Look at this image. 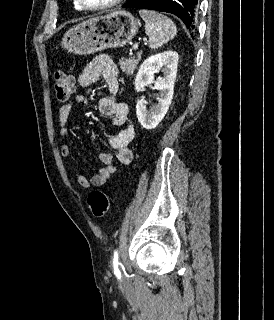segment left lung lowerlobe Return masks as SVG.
<instances>
[{"mask_svg":"<svg viewBox=\"0 0 274 320\" xmlns=\"http://www.w3.org/2000/svg\"><path fill=\"white\" fill-rule=\"evenodd\" d=\"M123 8H141L173 13L187 28L193 29L198 9V0H129Z\"/></svg>","mask_w":274,"mask_h":320,"instance_id":"1","label":"left lung lower lobe"}]
</instances>
